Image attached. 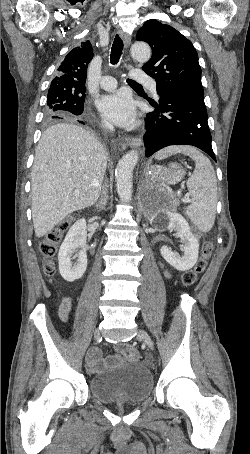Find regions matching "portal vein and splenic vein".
<instances>
[{"mask_svg":"<svg viewBox=\"0 0 250 454\" xmlns=\"http://www.w3.org/2000/svg\"><path fill=\"white\" fill-rule=\"evenodd\" d=\"M75 193H78V191H75ZM182 201L185 202V203H189L190 202V199L188 196L182 198Z\"/></svg>","mask_w":250,"mask_h":454,"instance_id":"1","label":"portal vein and splenic vein"}]
</instances>
